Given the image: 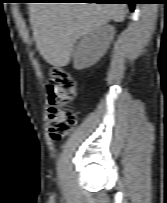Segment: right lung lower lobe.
<instances>
[{"instance_id":"1","label":"right lung lower lobe","mask_w":167,"mask_h":203,"mask_svg":"<svg viewBox=\"0 0 167 203\" xmlns=\"http://www.w3.org/2000/svg\"><path fill=\"white\" fill-rule=\"evenodd\" d=\"M96 3H127L130 6V11L133 12L135 8L136 0H89Z\"/></svg>"}]
</instances>
